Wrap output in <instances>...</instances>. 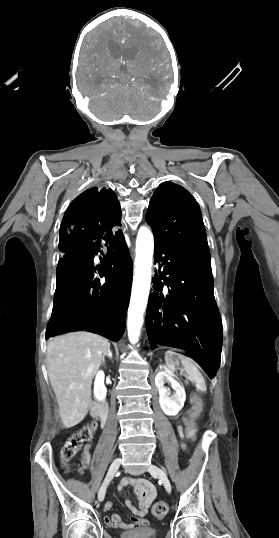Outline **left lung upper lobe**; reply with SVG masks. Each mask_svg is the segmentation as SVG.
I'll list each match as a JSON object with an SVG mask.
<instances>
[{"label": "left lung upper lobe", "instance_id": "1", "mask_svg": "<svg viewBox=\"0 0 279 538\" xmlns=\"http://www.w3.org/2000/svg\"><path fill=\"white\" fill-rule=\"evenodd\" d=\"M156 243L189 251L209 252L198 203L183 187L162 183L154 192L145 217Z\"/></svg>", "mask_w": 279, "mask_h": 538}]
</instances>
